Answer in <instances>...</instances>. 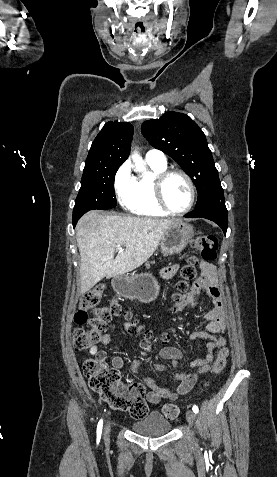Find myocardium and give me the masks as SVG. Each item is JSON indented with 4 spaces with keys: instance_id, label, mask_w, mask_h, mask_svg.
Here are the masks:
<instances>
[{
    "instance_id": "obj_1",
    "label": "myocardium",
    "mask_w": 277,
    "mask_h": 477,
    "mask_svg": "<svg viewBox=\"0 0 277 477\" xmlns=\"http://www.w3.org/2000/svg\"><path fill=\"white\" fill-rule=\"evenodd\" d=\"M174 175L182 176L187 181L189 190H190V198H189L188 205L181 211L172 210L167 204V201L164 195L165 183L171 176H174ZM153 188H154V195H155L157 204L164 212H166L169 215L183 216L187 214L194 206V203L196 200V187L192 178L183 170H180V169L167 170L166 169L158 173L154 178Z\"/></svg>"
}]
</instances>
